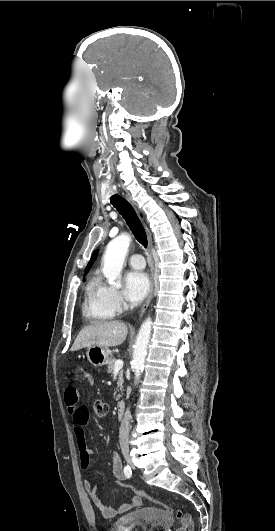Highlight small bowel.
Returning a JSON list of instances; mask_svg holds the SVG:
<instances>
[{
    "instance_id": "small-bowel-1",
    "label": "small bowel",
    "mask_w": 275,
    "mask_h": 531,
    "mask_svg": "<svg viewBox=\"0 0 275 531\" xmlns=\"http://www.w3.org/2000/svg\"><path fill=\"white\" fill-rule=\"evenodd\" d=\"M76 374L78 376H84L86 371L84 369H78ZM84 380L86 383L91 384L94 382L95 377L93 374L88 373L85 375ZM64 399L67 412L74 423L73 432L80 450V466L82 469H87L91 464V457L93 455V451L87 446L85 434V427L89 422V412L86 407L78 405V396L74 389L68 388L65 391ZM110 460L116 480L126 479L125 470L119 454L117 452H112ZM84 488L89 493L92 504L100 511L102 517L105 519H112L142 506L141 497L135 495L127 503L121 504L118 507H110L105 505L100 499L93 482L90 480H84Z\"/></svg>"
}]
</instances>
